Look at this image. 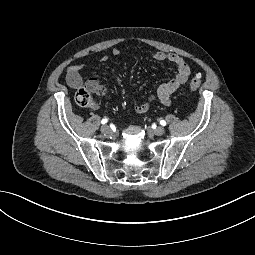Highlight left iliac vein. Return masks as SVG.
Masks as SVG:
<instances>
[{
	"instance_id": "1",
	"label": "left iliac vein",
	"mask_w": 255,
	"mask_h": 255,
	"mask_svg": "<svg viewBox=\"0 0 255 255\" xmlns=\"http://www.w3.org/2000/svg\"><path fill=\"white\" fill-rule=\"evenodd\" d=\"M165 133V130L163 127L159 126L157 128L154 129V134H156L157 136H161Z\"/></svg>"
}]
</instances>
